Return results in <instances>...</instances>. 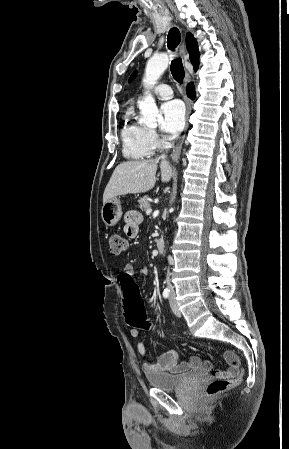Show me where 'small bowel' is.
Wrapping results in <instances>:
<instances>
[{
  "label": "small bowel",
  "instance_id": "small-bowel-1",
  "mask_svg": "<svg viewBox=\"0 0 289 449\" xmlns=\"http://www.w3.org/2000/svg\"><path fill=\"white\" fill-rule=\"evenodd\" d=\"M141 215L136 211H129L126 213L124 217L125 225H124V233L128 238H135L139 232V224L141 222ZM123 271H129L131 276L134 275V266L131 264H127ZM144 273L145 269L142 270ZM124 292V291H123ZM131 336L134 338H139L140 332L138 329L131 330ZM137 349L141 356H146V346L142 340H138ZM224 358L228 364V368L225 370H217L216 372L219 376L231 378L235 377L240 373V359L236 353L233 351H226L224 353ZM206 369L212 370L213 364L210 361L202 363L199 357L193 356L186 361L181 363L178 362V354L175 350H169L162 355H160L156 361L151 362L149 360H145L142 363V369L146 374H155V373H179L186 371L188 369Z\"/></svg>",
  "mask_w": 289,
  "mask_h": 449
}]
</instances>
